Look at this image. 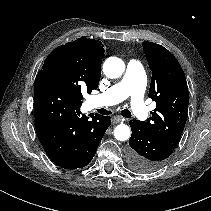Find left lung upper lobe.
Instances as JSON below:
<instances>
[{"label": "left lung upper lobe", "mask_w": 211, "mask_h": 211, "mask_svg": "<svg viewBox=\"0 0 211 211\" xmlns=\"http://www.w3.org/2000/svg\"><path fill=\"white\" fill-rule=\"evenodd\" d=\"M143 50L152 71L149 98L156 102V108L146 122H140L152 135L175 149L186 123L189 104L185 74L165 47L145 41Z\"/></svg>", "instance_id": "left-lung-upper-lobe-1"}]
</instances>
